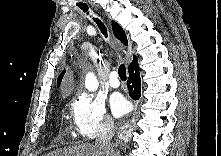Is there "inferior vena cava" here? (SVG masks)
<instances>
[{
	"label": "inferior vena cava",
	"mask_w": 221,
	"mask_h": 156,
	"mask_svg": "<svg viewBox=\"0 0 221 156\" xmlns=\"http://www.w3.org/2000/svg\"><path fill=\"white\" fill-rule=\"evenodd\" d=\"M114 135V124L112 120H108L105 124L103 131L101 132L100 137L96 140L95 145L113 152V147L111 145V139Z\"/></svg>",
	"instance_id": "602c4592"
}]
</instances>
